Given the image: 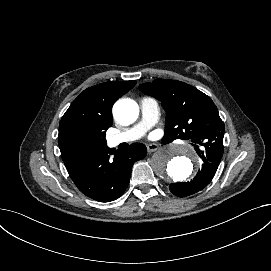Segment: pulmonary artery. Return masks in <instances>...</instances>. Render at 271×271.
Instances as JSON below:
<instances>
[{
	"label": "pulmonary artery",
	"mask_w": 271,
	"mask_h": 271,
	"mask_svg": "<svg viewBox=\"0 0 271 271\" xmlns=\"http://www.w3.org/2000/svg\"><path fill=\"white\" fill-rule=\"evenodd\" d=\"M140 109L142 118L137 124L125 131L106 136V144L109 148L116 147L121 143H130L139 140L158 121L160 109L155 99L149 97L142 98L140 100ZM195 151L200 152L201 148L196 147Z\"/></svg>",
	"instance_id": "obj_1"
}]
</instances>
